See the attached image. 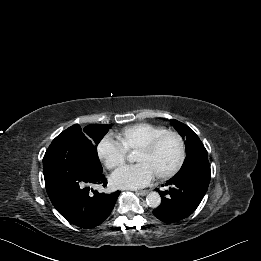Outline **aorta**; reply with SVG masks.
<instances>
[{
  "mask_svg": "<svg viewBox=\"0 0 261 261\" xmlns=\"http://www.w3.org/2000/svg\"><path fill=\"white\" fill-rule=\"evenodd\" d=\"M146 202L149 207L157 208L161 204V197L158 192H150L146 196Z\"/></svg>",
  "mask_w": 261,
  "mask_h": 261,
  "instance_id": "obj_1",
  "label": "aorta"
}]
</instances>
